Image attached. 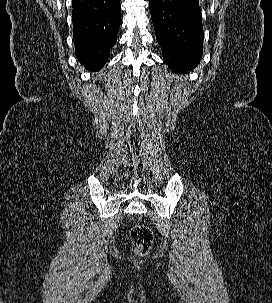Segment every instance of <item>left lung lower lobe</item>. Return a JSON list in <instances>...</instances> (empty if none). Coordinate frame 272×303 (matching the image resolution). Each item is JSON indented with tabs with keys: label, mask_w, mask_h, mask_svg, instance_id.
<instances>
[{
	"label": "left lung lower lobe",
	"mask_w": 272,
	"mask_h": 303,
	"mask_svg": "<svg viewBox=\"0 0 272 303\" xmlns=\"http://www.w3.org/2000/svg\"><path fill=\"white\" fill-rule=\"evenodd\" d=\"M149 7L165 63L178 72L195 68L203 53L199 0H149Z\"/></svg>",
	"instance_id": "1"
}]
</instances>
